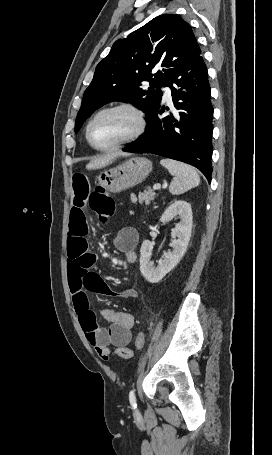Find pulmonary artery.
Here are the masks:
<instances>
[{"instance_id":"obj_1","label":"pulmonary artery","mask_w":272,"mask_h":455,"mask_svg":"<svg viewBox=\"0 0 272 455\" xmlns=\"http://www.w3.org/2000/svg\"><path fill=\"white\" fill-rule=\"evenodd\" d=\"M164 98L167 100V101H170L171 100V89L169 87H165L164 88Z\"/></svg>"}]
</instances>
